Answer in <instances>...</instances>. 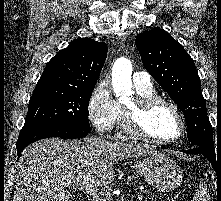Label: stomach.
Returning <instances> with one entry per match:
<instances>
[{"label": "stomach", "mask_w": 221, "mask_h": 201, "mask_svg": "<svg viewBox=\"0 0 221 201\" xmlns=\"http://www.w3.org/2000/svg\"><path fill=\"white\" fill-rule=\"evenodd\" d=\"M134 168L158 192H171L182 183L183 174L180 167L161 151L145 155Z\"/></svg>", "instance_id": "stomach-1"}]
</instances>
